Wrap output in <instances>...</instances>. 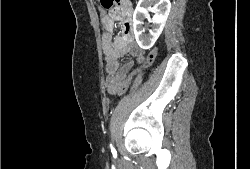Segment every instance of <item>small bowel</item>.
<instances>
[{
	"label": "small bowel",
	"mask_w": 250,
	"mask_h": 169,
	"mask_svg": "<svg viewBox=\"0 0 250 169\" xmlns=\"http://www.w3.org/2000/svg\"><path fill=\"white\" fill-rule=\"evenodd\" d=\"M121 16L125 22L124 35L129 36L130 27L129 19L126 11L121 10ZM112 22V16H105L103 18V27L105 32L102 36L103 49L105 54L106 62V87L109 93L116 94V89H127L118 88V83H130L123 82V77H127L126 73L130 72L133 67V61L129 60L123 64L120 63V58L129 55L132 58H137L139 61L144 59L143 51L134 43H118L115 44L112 36L109 34L108 30Z\"/></svg>",
	"instance_id": "1"
}]
</instances>
